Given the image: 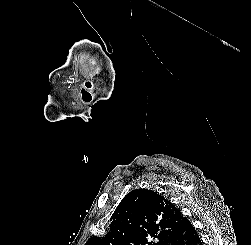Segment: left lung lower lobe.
Here are the masks:
<instances>
[{
    "label": "left lung lower lobe",
    "mask_w": 251,
    "mask_h": 245,
    "mask_svg": "<svg viewBox=\"0 0 251 245\" xmlns=\"http://www.w3.org/2000/svg\"><path fill=\"white\" fill-rule=\"evenodd\" d=\"M167 245H202V242L194 226L188 220L170 238Z\"/></svg>",
    "instance_id": "left-lung-lower-lobe-1"
}]
</instances>
